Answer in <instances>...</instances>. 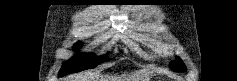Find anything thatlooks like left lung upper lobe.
I'll use <instances>...</instances> for the list:
<instances>
[{"instance_id":"left-lung-upper-lobe-1","label":"left lung upper lobe","mask_w":237,"mask_h":81,"mask_svg":"<svg viewBox=\"0 0 237 81\" xmlns=\"http://www.w3.org/2000/svg\"><path fill=\"white\" fill-rule=\"evenodd\" d=\"M170 67L172 70L177 71V72L186 71V67L183 61L179 57H177L176 60L170 62Z\"/></svg>"}]
</instances>
